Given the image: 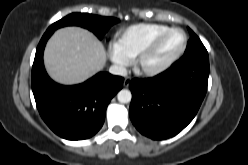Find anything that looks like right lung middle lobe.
<instances>
[{
	"mask_svg": "<svg viewBox=\"0 0 248 165\" xmlns=\"http://www.w3.org/2000/svg\"><path fill=\"white\" fill-rule=\"evenodd\" d=\"M117 22H119L117 18L102 17L86 13H72L52 24L47 31H55L63 26L77 25L89 29L99 39H102L108 29Z\"/></svg>",
	"mask_w": 248,
	"mask_h": 165,
	"instance_id": "1",
	"label": "right lung middle lobe"
}]
</instances>
